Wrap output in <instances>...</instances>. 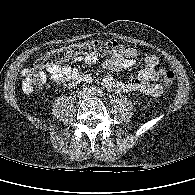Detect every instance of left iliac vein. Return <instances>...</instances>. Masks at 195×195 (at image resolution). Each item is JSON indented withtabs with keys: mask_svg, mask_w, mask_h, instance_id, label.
Listing matches in <instances>:
<instances>
[{
	"mask_svg": "<svg viewBox=\"0 0 195 195\" xmlns=\"http://www.w3.org/2000/svg\"><path fill=\"white\" fill-rule=\"evenodd\" d=\"M94 95V93H91V96H93Z\"/></svg>",
	"mask_w": 195,
	"mask_h": 195,
	"instance_id": "obj_1",
	"label": "left iliac vein"
}]
</instances>
